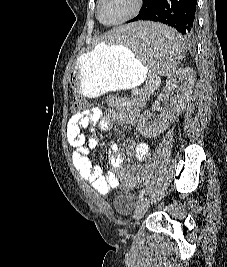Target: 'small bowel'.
Returning a JSON list of instances; mask_svg holds the SVG:
<instances>
[{
	"label": "small bowel",
	"instance_id": "1",
	"mask_svg": "<svg viewBox=\"0 0 227 267\" xmlns=\"http://www.w3.org/2000/svg\"><path fill=\"white\" fill-rule=\"evenodd\" d=\"M139 105L126 98L117 101L115 110L105 112L98 107H89L82 111L80 115H72L66 126V138L68 143L74 148L72 162L81 178L89 182L99 193H108L118 186L119 180L116 169L125 160L134 157L138 161H145L149 158L148 146L136 139L131 138L129 142L121 147L118 143L112 142L108 145L107 154L110 169L104 175L98 166H94L87 157L89 148H96L100 144L97 131H108L112 122L136 125ZM87 131V135L83 132ZM121 150L125 153L123 155Z\"/></svg>",
	"mask_w": 227,
	"mask_h": 267
}]
</instances>
